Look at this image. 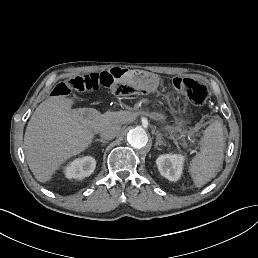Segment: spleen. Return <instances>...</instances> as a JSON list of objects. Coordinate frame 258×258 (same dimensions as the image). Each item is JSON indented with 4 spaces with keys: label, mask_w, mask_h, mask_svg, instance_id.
Masks as SVG:
<instances>
[{
    "label": "spleen",
    "mask_w": 258,
    "mask_h": 258,
    "mask_svg": "<svg viewBox=\"0 0 258 258\" xmlns=\"http://www.w3.org/2000/svg\"><path fill=\"white\" fill-rule=\"evenodd\" d=\"M225 137L220 122H212L204 130L200 152L192 158L190 171L196 186L214 178L223 164Z\"/></svg>",
    "instance_id": "spleen-1"
}]
</instances>
